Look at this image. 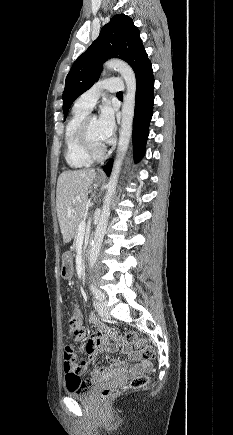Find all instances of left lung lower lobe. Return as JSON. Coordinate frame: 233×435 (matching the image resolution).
<instances>
[{"mask_svg":"<svg viewBox=\"0 0 233 435\" xmlns=\"http://www.w3.org/2000/svg\"><path fill=\"white\" fill-rule=\"evenodd\" d=\"M154 77L151 64L146 66L136 77V97L133 120V153L138 162L145 154V146L149 134V123L153 114ZM111 159L103 170L109 176L112 170Z\"/></svg>","mask_w":233,"mask_h":435,"instance_id":"left-lung-lower-lobe-1","label":"left lung lower lobe"}]
</instances>
